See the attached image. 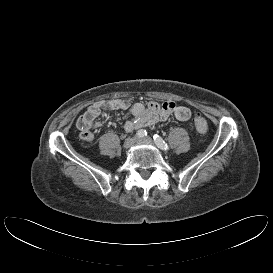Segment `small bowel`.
<instances>
[{"instance_id":"small-bowel-1","label":"small bowel","mask_w":273,"mask_h":273,"mask_svg":"<svg viewBox=\"0 0 273 273\" xmlns=\"http://www.w3.org/2000/svg\"><path fill=\"white\" fill-rule=\"evenodd\" d=\"M130 110L131 119L124 123V129L128 132L142 127L152 126L155 123L166 120L173 116L179 121H187L191 117L189 108L179 105L173 101L163 103L149 102L147 104L132 103L128 99H115L110 101H99L87 108L78 118L76 127L79 137L85 142L94 139V130L99 126L97 117L109 110Z\"/></svg>"}]
</instances>
